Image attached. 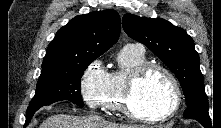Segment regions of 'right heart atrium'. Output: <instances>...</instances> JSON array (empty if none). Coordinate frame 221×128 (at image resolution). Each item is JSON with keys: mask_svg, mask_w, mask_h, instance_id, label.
Wrapping results in <instances>:
<instances>
[{"mask_svg": "<svg viewBox=\"0 0 221 128\" xmlns=\"http://www.w3.org/2000/svg\"><path fill=\"white\" fill-rule=\"evenodd\" d=\"M108 73L103 69L102 61H92L84 70L80 91L85 103L92 109L101 106V96L107 83Z\"/></svg>", "mask_w": 221, "mask_h": 128, "instance_id": "d8ad5b80", "label": "right heart atrium"}]
</instances>
